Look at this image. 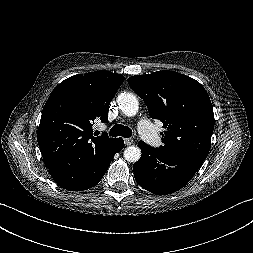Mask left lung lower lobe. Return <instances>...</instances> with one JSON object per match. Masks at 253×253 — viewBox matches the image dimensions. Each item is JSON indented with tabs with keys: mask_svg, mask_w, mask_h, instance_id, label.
I'll return each instance as SVG.
<instances>
[{
	"mask_svg": "<svg viewBox=\"0 0 253 253\" xmlns=\"http://www.w3.org/2000/svg\"><path fill=\"white\" fill-rule=\"evenodd\" d=\"M141 158L134 163L136 182L157 195L171 194L184 187L203 163L199 156H188L174 161L164 157L158 148L139 141Z\"/></svg>",
	"mask_w": 253,
	"mask_h": 253,
	"instance_id": "left-lung-lower-lobe-1",
	"label": "left lung lower lobe"
}]
</instances>
